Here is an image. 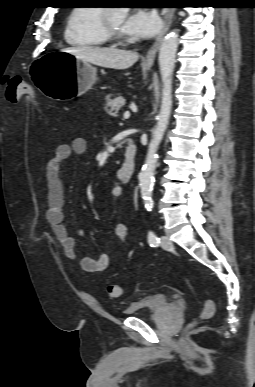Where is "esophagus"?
I'll return each mask as SVG.
<instances>
[{
	"label": "esophagus",
	"mask_w": 255,
	"mask_h": 387,
	"mask_svg": "<svg viewBox=\"0 0 255 387\" xmlns=\"http://www.w3.org/2000/svg\"><path fill=\"white\" fill-rule=\"evenodd\" d=\"M163 15H164V25H163V28H162L161 32L159 33V35L157 36V38H156L155 42L153 43V45L150 47L147 55L145 56V58L143 60V64L146 65V66L152 65L154 60H155V57H156L157 51L160 48L162 39H163L164 35L168 31V29H169V27H170V25L172 23V19H173V15H174V9L173 8H165V9H163Z\"/></svg>",
	"instance_id": "esophagus-1"
}]
</instances>
